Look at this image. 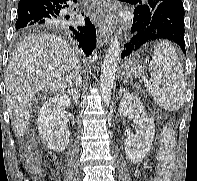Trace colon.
<instances>
[{"mask_svg":"<svg viewBox=\"0 0 197 181\" xmlns=\"http://www.w3.org/2000/svg\"><path fill=\"white\" fill-rule=\"evenodd\" d=\"M175 142V129L172 125L164 127L161 142L158 149V168L157 174L152 181H170L174 169L173 146ZM27 169L35 175H41V168L37 153L32 150L29 152Z\"/></svg>","mask_w":197,"mask_h":181,"instance_id":"5ec220e1","label":"colon"}]
</instances>
